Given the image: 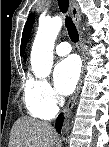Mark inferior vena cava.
<instances>
[{
  "label": "inferior vena cava",
  "mask_w": 109,
  "mask_h": 147,
  "mask_svg": "<svg viewBox=\"0 0 109 147\" xmlns=\"http://www.w3.org/2000/svg\"><path fill=\"white\" fill-rule=\"evenodd\" d=\"M57 100H58V102H59L60 105H63L64 102H65V99L62 96H57Z\"/></svg>",
  "instance_id": "602c4592"
}]
</instances>
